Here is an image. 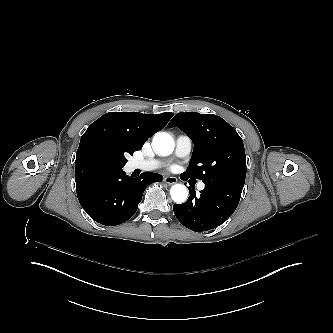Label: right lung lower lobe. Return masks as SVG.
<instances>
[{"instance_id":"98d812e1","label":"right lung lower lobe","mask_w":333,"mask_h":333,"mask_svg":"<svg viewBox=\"0 0 333 333\" xmlns=\"http://www.w3.org/2000/svg\"><path fill=\"white\" fill-rule=\"evenodd\" d=\"M162 179L161 175L152 172L132 178L122 168L106 167L92 159L75 161L78 200L93 220L106 226H115L130 219L145 188Z\"/></svg>"}]
</instances>
